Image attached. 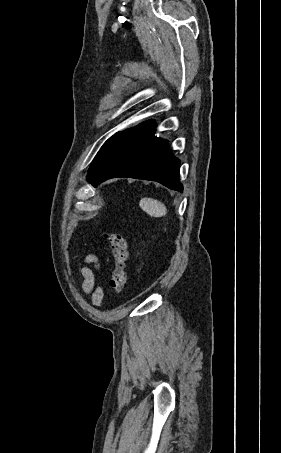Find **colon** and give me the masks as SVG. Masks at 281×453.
<instances>
[{
	"mask_svg": "<svg viewBox=\"0 0 281 453\" xmlns=\"http://www.w3.org/2000/svg\"><path fill=\"white\" fill-rule=\"evenodd\" d=\"M107 237L110 242L113 258V267L109 281L110 290L114 295L119 296L126 288L128 259L127 242L125 237L121 234L112 233Z\"/></svg>",
	"mask_w": 281,
	"mask_h": 453,
	"instance_id": "colon-1",
	"label": "colon"
}]
</instances>
